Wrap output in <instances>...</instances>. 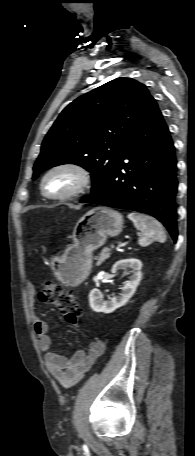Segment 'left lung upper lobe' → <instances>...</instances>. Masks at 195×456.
I'll list each match as a JSON object with an SVG mask.
<instances>
[{
    "label": "left lung upper lobe",
    "mask_w": 195,
    "mask_h": 456,
    "mask_svg": "<svg viewBox=\"0 0 195 456\" xmlns=\"http://www.w3.org/2000/svg\"><path fill=\"white\" fill-rule=\"evenodd\" d=\"M155 102L147 88L131 78H117L70 103L45 136L33 179L61 164L91 173L92 193L111 172L133 127Z\"/></svg>",
    "instance_id": "left-lung-upper-lobe-1"
}]
</instances>
